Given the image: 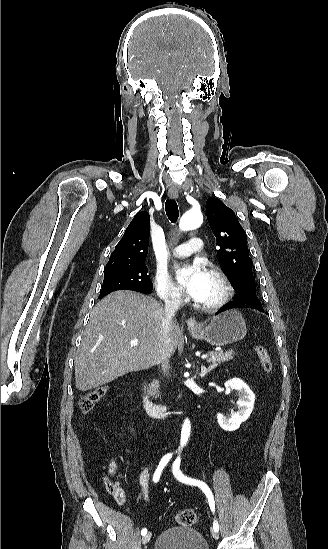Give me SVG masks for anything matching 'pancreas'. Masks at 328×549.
<instances>
[{"instance_id": "obj_1", "label": "pancreas", "mask_w": 328, "mask_h": 549, "mask_svg": "<svg viewBox=\"0 0 328 549\" xmlns=\"http://www.w3.org/2000/svg\"><path fill=\"white\" fill-rule=\"evenodd\" d=\"M234 355H236L235 351H218V353H214V351H210L209 353V359H207V363H212L213 369L217 367L218 363H225V361H231L233 359ZM159 381H153V383H150L148 385V393L149 395H155V393H159Z\"/></svg>"}]
</instances>
